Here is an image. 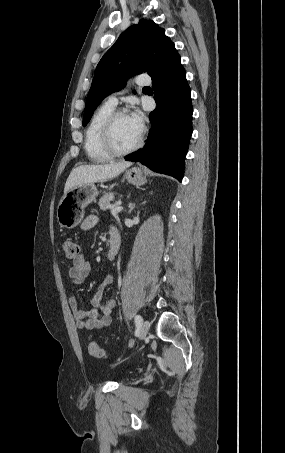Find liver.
Wrapping results in <instances>:
<instances>
[{"label":"liver","instance_id":"1","mask_svg":"<svg viewBox=\"0 0 285 453\" xmlns=\"http://www.w3.org/2000/svg\"><path fill=\"white\" fill-rule=\"evenodd\" d=\"M131 165V162L123 161L111 164L78 166L71 171L64 187V194L76 186L113 179Z\"/></svg>","mask_w":285,"mask_h":453}]
</instances>
